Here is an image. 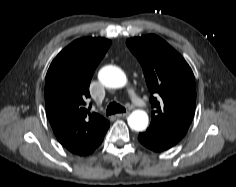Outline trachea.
Wrapping results in <instances>:
<instances>
[{
	"mask_svg": "<svg viewBox=\"0 0 236 187\" xmlns=\"http://www.w3.org/2000/svg\"><path fill=\"white\" fill-rule=\"evenodd\" d=\"M124 112H126V109L116 102L110 103L106 110L107 115H112L116 113H124Z\"/></svg>",
	"mask_w": 236,
	"mask_h": 187,
	"instance_id": "obj_1",
	"label": "trachea"
}]
</instances>
